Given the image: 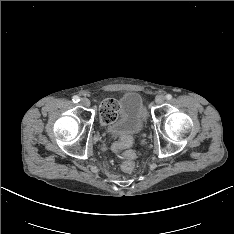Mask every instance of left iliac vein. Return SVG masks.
Returning a JSON list of instances; mask_svg holds the SVG:
<instances>
[{"label":"left iliac vein","mask_w":234,"mask_h":234,"mask_svg":"<svg viewBox=\"0 0 234 234\" xmlns=\"http://www.w3.org/2000/svg\"><path fill=\"white\" fill-rule=\"evenodd\" d=\"M164 101H165V97H164L163 95H158V96L156 97V99H155V102H156V104H158V105L164 103Z\"/></svg>","instance_id":"1"}]
</instances>
